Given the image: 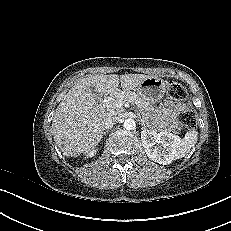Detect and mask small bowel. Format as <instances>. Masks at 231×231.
Wrapping results in <instances>:
<instances>
[{
    "instance_id": "obj_1",
    "label": "small bowel",
    "mask_w": 231,
    "mask_h": 231,
    "mask_svg": "<svg viewBox=\"0 0 231 231\" xmlns=\"http://www.w3.org/2000/svg\"><path fill=\"white\" fill-rule=\"evenodd\" d=\"M183 104H175L171 101L166 102L161 108V117L165 124L174 125L178 114L183 110Z\"/></svg>"
}]
</instances>
